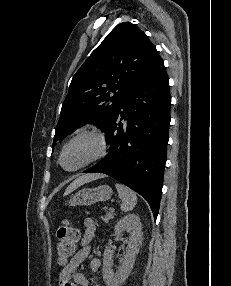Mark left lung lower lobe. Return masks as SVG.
<instances>
[{"label":"left lung lower lobe","instance_id":"obj_1","mask_svg":"<svg viewBox=\"0 0 231 286\" xmlns=\"http://www.w3.org/2000/svg\"><path fill=\"white\" fill-rule=\"evenodd\" d=\"M170 105L169 79L160 59L120 100L104 130L110 143L108 155L84 171L107 174L139 193L155 219L166 163Z\"/></svg>","mask_w":231,"mask_h":286}]
</instances>
